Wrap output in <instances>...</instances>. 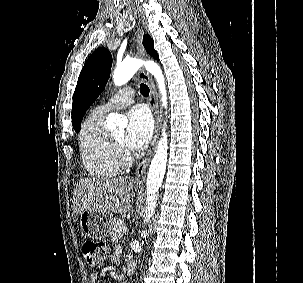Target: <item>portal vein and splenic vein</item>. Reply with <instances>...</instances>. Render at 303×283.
Here are the masks:
<instances>
[{
	"instance_id": "18ae733b",
	"label": "portal vein and splenic vein",
	"mask_w": 303,
	"mask_h": 283,
	"mask_svg": "<svg viewBox=\"0 0 303 283\" xmlns=\"http://www.w3.org/2000/svg\"><path fill=\"white\" fill-rule=\"evenodd\" d=\"M120 224H122V222L120 223ZM128 228L127 227H123V233H128Z\"/></svg>"
}]
</instances>
